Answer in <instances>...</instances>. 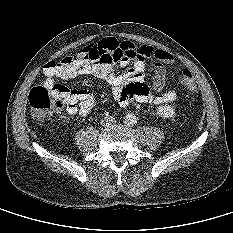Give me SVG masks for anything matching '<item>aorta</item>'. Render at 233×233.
I'll use <instances>...</instances> for the list:
<instances>
[{
	"label": "aorta",
	"mask_w": 233,
	"mask_h": 233,
	"mask_svg": "<svg viewBox=\"0 0 233 233\" xmlns=\"http://www.w3.org/2000/svg\"><path fill=\"white\" fill-rule=\"evenodd\" d=\"M124 123L128 126H133L137 123V117L135 114L129 113L124 117Z\"/></svg>",
	"instance_id": "1"
}]
</instances>
